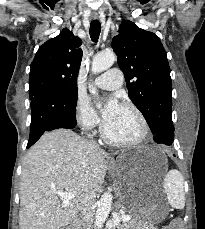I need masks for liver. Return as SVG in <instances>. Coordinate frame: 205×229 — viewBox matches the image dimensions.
<instances>
[{
  "label": "liver",
  "mask_w": 205,
  "mask_h": 229,
  "mask_svg": "<svg viewBox=\"0 0 205 229\" xmlns=\"http://www.w3.org/2000/svg\"><path fill=\"white\" fill-rule=\"evenodd\" d=\"M107 154L67 129L45 133L27 152L20 184V229H60L97 192L106 176ZM55 192L75 198L61 205Z\"/></svg>",
  "instance_id": "1"
}]
</instances>
